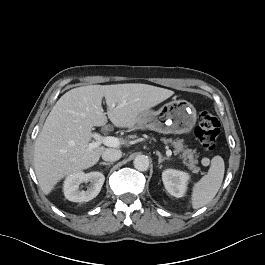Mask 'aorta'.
<instances>
[{
  "label": "aorta",
  "mask_w": 265,
  "mask_h": 265,
  "mask_svg": "<svg viewBox=\"0 0 265 265\" xmlns=\"http://www.w3.org/2000/svg\"><path fill=\"white\" fill-rule=\"evenodd\" d=\"M133 164L138 171H147L149 168V158L146 155H138L135 157Z\"/></svg>",
  "instance_id": "1"
}]
</instances>
